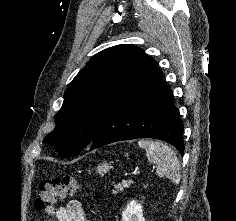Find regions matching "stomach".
<instances>
[{"label":"stomach","mask_w":236,"mask_h":221,"mask_svg":"<svg viewBox=\"0 0 236 221\" xmlns=\"http://www.w3.org/2000/svg\"><path fill=\"white\" fill-rule=\"evenodd\" d=\"M110 169H111L110 164L107 163V162H103V163H101V164H99V165L97 166L96 171H97L99 174L104 175V174L107 173Z\"/></svg>","instance_id":"0dacf381"}]
</instances>
